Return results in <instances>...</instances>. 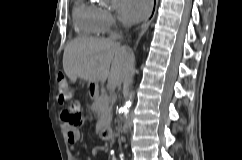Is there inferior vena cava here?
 I'll return each instance as SVG.
<instances>
[{
  "label": "inferior vena cava",
  "instance_id": "inferior-vena-cava-1",
  "mask_svg": "<svg viewBox=\"0 0 242 160\" xmlns=\"http://www.w3.org/2000/svg\"><path fill=\"white\" fill-rule=\"evenodd\" d=\"M125 57L122 58V67L126 68L127 64L126 63H131V61L134 59L133 51L132 50H125Z\"/></svg>",
  "mask_w": 242,
  "mask_h": 160
}]
</instances>
